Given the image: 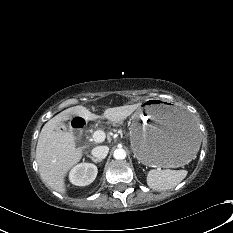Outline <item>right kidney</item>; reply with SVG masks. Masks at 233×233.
I'll use <instances>...</instances> for the list:
<instances>
[{"instance_id": "obj_1", "label": "right kidney", "mask_w": 233, "mask_h": 233, "mask_svg": "<svg viewBox=\"0 0 233 233\" xmlns=\"http://www.w3.org/2000/svg\"><path fill=\"white\" fill-rule=\"evenodd\" d=\"M97 173L98 169L94 164L80 163L71 170L69 178L76 186H86L95 180Z\"/></svg>"}]
</instances>
